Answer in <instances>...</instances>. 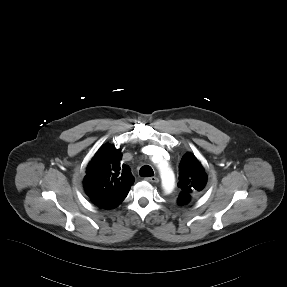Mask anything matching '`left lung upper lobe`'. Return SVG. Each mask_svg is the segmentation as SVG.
<instances>
[{
  "mask_svg": "<svg viewBox=\"0 0 287 287\" xmlns=\"http://www.w3.org/2000/svg\"><path fill=\"white\" fill-rule=\"evenodd\" d=\"M179 169L178 187L181 192L178 203L183 205L190 201L192 193L201 191L204 188L207 176L201 163L190 152L182 157Z\"/></svg>",
  "mask_w": 287,
  "mask_h": 287,
  "instance_id": "obj_1",
  "label": "left lung upper lobe"
}]
</instances>
